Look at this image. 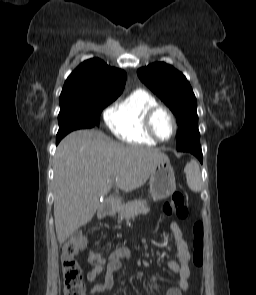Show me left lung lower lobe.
Instances as JSON below:
<instances>
[{
    "label": "left lung lower lobe",
    "mask_w": 256,
    "mask_h": 295,
    "mask_svg": "<svg viewBox=\"0 0 256 295\" xmlns=\"http://www.w3.org/2000/svg\"><path fill=\"white\" fill-rule=\"evenodd\" d=\"M186 151L195 155L199 159V161L202 163L203 155H202V150L200 146L188 148Z\"/></svg>",
    "instance_id": "1"
}]
</instances>
